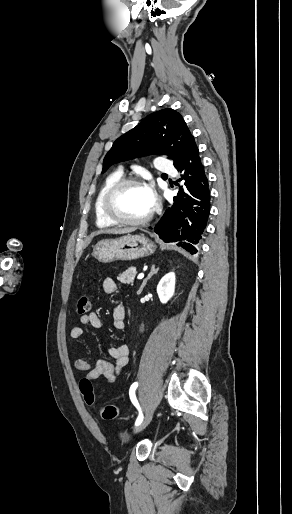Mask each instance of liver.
Instances as JSON below:
<instances>
[{
	"instance_id": "obj_1",
	"label": "liver",
	"mask_w": 292,
	"mask_h": 514,
	"mask_svg": "<svg viewBox=\"0 0 292 514\" xmlns=\"http://www.w3.org/2000/svg\"><path fill=\"white\" fill-rule=\"evenodd\" d=\"M130 232H135L134 228H122V230L111 228V230H100V232H95L93 236H98V234H130Z\"/></svg>"
}]
</instances>
